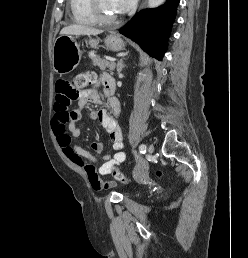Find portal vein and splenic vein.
<instances>
[{"label":"portal vein and splenic vein","instance_id":"portal-vein-and-splenic-vein-1","mask_svg":"<svg viewBox=\"0 0 248 258\" xmlns=\"http://www.w3.org/2000/svg\"><path fill=\"white\" fill-rule=\"evenodd\" d=\"M107 60H109L110 62H115L116 59L115 58H106Z\"/></svg>","mask_w":248,"mask_h":258}]
</instances>
